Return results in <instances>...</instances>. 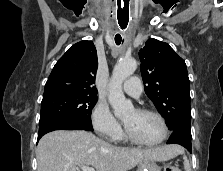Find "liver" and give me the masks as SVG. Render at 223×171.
Masks as SVG:
<instances>
[{
  "label": "liver",
  "mask_w": 223,
  "mask_h": 171,
  "mask_svg": "<svg viewBox=\"0 0 223 171\" xmlns=\"http://www.w3.org/2000/svg\"><path fill=\"white\" fill-rule=\"evenodd\" d=\"M178 148H121L87 131L58 130L40 139L37 171H76L77 166H93L96 171H128L146 160H170L178 154Z\"/></svg>",
  "instance_id": "6515ba94"
}]
</instances>
